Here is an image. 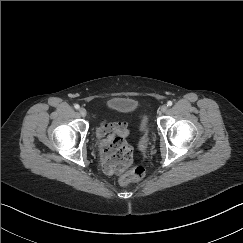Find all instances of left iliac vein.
Segmentation results:
<instances>
[{
  "mask_svg": "<svg viewBox=\"0 0 243 243\" xmlns=\"http://www.w3.org/2000/svg\"><path fill=\"white\" fill-rule=\"evenodd\" d=\"M167 109H168V106L165 104L160 107V110L162 113H165L167 111Z\"/></svg>",
  "mask_w": 243,
  "mask_h": 243,
  "instance_id": "left-iliac-vein-1",
  "label": "left iliac vein"
}]
</instances>
